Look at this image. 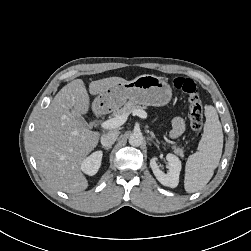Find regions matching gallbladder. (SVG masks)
Wrapping results in <instances>:
<instances>
[{
  "label": "gallbladder",
  "instance_id": "bac80fb5",
  "mask_svg": "<svg viewBox=\"0 0 251 251\" xmlns=\"http://www.w3.org/2000/svg\"><path fill=\"white\" fill-rule=\"evenodd\" d=\"M76 116V119L83 125V126H87V122L86 120L78 113H74Z\"/></svg>",
  "mask_w": 251,
  "mask_h": 251
}]
</instances>
